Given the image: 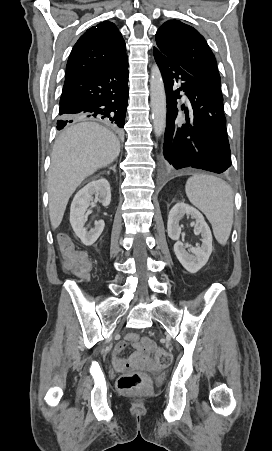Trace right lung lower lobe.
I'll return each mask as SVG.
<instances>
[{"label":"right lung lower lobe","instance_id":"1","mask_svg":"<svg viewBox=\"0 0 272 451\" xmlns=\"http://www.w3.org/2000/svg\"><path fill=\"white\" fill-rule=\"evenodd\" d=\"M128 59L65 79L57 129L85 118L104 120L113 129L124 127L128 100Z\"/></svg>","mask_w":272,"mask_h":451}]
</instances>
